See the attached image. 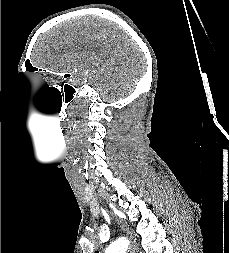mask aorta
Listing matches in <instances>:
<instances>
[{
  "mask_svg": "<svg viewBox=\"0 0 229 253\" xmlns=\"http://www.w3.org/2000/svg\"><path fill=\"white\" fill-rule=\"evenodd\" d=\"M127 248V241L125 239H118L106 248L105 253H126Z\"/></svg>",
  "mask_w": 229,
  "mask_h": 253,
  "instance_id": "1",
  "label": "aorta"
}]
</instances>
